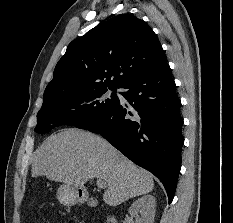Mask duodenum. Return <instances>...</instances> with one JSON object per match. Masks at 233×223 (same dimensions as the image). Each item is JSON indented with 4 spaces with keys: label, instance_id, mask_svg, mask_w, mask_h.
I'll use <instances>...</instances> for the list:
<instances>
[{
    "label": "duodenum",
    "instance_id": "1",
    "mask_svg": "<svg viewBox=\"0 0 233 223\" xmlns=\"http://www.w3.org/2000/svg\"><path fill=\"white\" fill-rule=\"evenodd\" d=\"M77 199L79 202L85 203L90 208H97L98 207V200L95 197H92L88 194L85 190H80L77 193ZM106 223H117V220L114 216H107Z\"/></svg>",
    "mask_w": 233,
    "mask_h": 223
}]
</instances>
